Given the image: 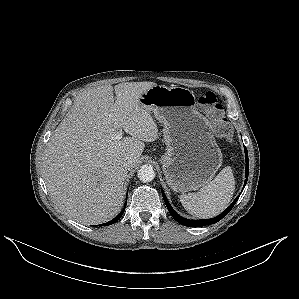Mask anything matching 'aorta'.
Listing matches in <instances>:
<instances>
[{"mask_svg":"<svg viewBox=\"0 0 299 299\" xmlns=\"http://www.w3.org/2000/svg\"><path fill=\"white\" fill-rule=\"evenodd\" d=\"M138 178L142 182H150L155 178V172L151 165H142L138 170Z\"/></svg>","mask_w":299,"mask_h":299,"instance_id":"762f6f07","label":"aorta"}]
</instances>
